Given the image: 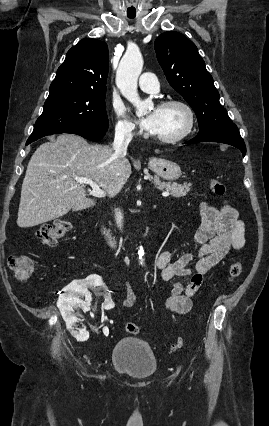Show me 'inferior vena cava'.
Returning <instances> with one entry per match:
<instances>
[{
    "label": "inferior vena cava",
    "mask_w": 269,
    "mask_h": 426,
    "mask_svg": "<svg viewBox=\"0 0 269 426\" xmlns=\"http://www.w3.org/2000/svg\"><path fill=\"white\" fill-rule=\"evenodd\" d=\"M132 139V134L129 131H118L115 134V139L113 143V150L116 156H121L126 153L128 144ZM116 222L119 227L122 226L123 216L120 210H115Z\"/></svg>",
    "instance_id": "1"
}]
</instances>
